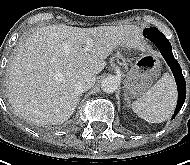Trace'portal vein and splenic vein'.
Segmentation results:
<instances>
[{
    "label": "portal vein and splenic vein",
    "mask_w": 190,
    "mask_h": 165,
    "mask_svg": "<svg viewBox=\"0 0 190 165\" xmlns=\"http://www.w3.org/2000/svg\"><path fill=\"white\" fill-rule=\"evenodd\" d=\"M92 46H93V40L91 39V38H88L87 39V44H86V46L84 47V52H88V51H90L91 50V48H92Z\"/></svg>",
    "instance_id": "18ae733b"
}]
</instances>
